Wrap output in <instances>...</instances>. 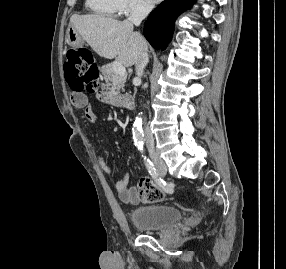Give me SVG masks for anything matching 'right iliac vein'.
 Here are the masks:
<instances>
[{
    "mask_svg": "<svg viewBox=\"0 0 286 269\" xmlns=\"http://www.w3.org/2000/svg\"><path fill=\"white\" fill-rule=\"evenodd\" d=\"M165 170H166L165 166L158 167V171L161 172V173H163Z\"/></svg>",
    "mask_w": 286,
    "mask_h": 269,
    "instance_id": "right-iliac-vein-1",
    "label": "right iliac vein"
}]
</instances>
